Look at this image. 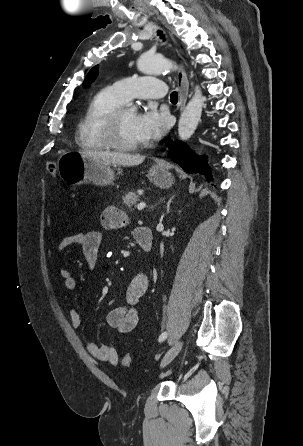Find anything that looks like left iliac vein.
Instances as JSON below:
<instances>
[{"label":"left iliac vein","instance_id":"left-iliac-vein-1","mask_svg":"<svg viewBox=\"0 0 303 446\" xmlns=\"http://www.w3.org/2000/svg\"><path fill=\"white\" fill-rule=\"evenodd\" d=\"M183 346V342L179 341L175 345H173L167 353L164 355V357L161 360L160 367L163 368L166 365H168L181 351Z\"/></svg>","mask_w":303,"mask_h":446}]
</instances>
